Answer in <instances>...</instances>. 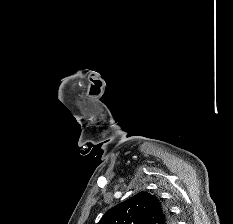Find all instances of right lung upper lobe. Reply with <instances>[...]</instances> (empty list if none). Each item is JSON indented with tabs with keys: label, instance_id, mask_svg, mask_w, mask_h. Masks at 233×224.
<instances>
[{
	"label": "right lung upper lobe",
	"instance_id": "1",
	"mask_svg": "<svg viewBox=\"0 0 233 224\" xmlns=\"http://www.w3.org/2000/svg\"><path fill=\"white\" fill-rule=\"evenodd\" d=\"M167 209L155 195L140 192L107 211L98 224H171Z\"/></svg>",
	"mask_w": 233,
	"mask_h": 224
}]
</instances>
